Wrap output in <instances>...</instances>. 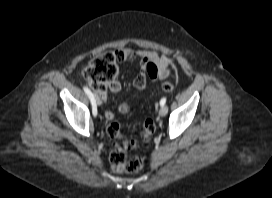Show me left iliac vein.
Returning a JSON list of instances; mask_svg holds the SVG:
<instances>
[{"label": "left iliac vein", "mask_w": 272, "mask_h": 198, "mask_svg": "<svg viewBox=\"0 0 272 198\" xmlns=\"http://www.w3.org/2000/svg\"><path fill=\"white\" fill-rule=\"evenodd\" d=\"M168 112V107L165 105V106H162L159 110V115L161 117H164Z\"/></svg>", "instance_id": "1"}]
</instances>
